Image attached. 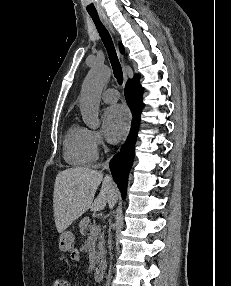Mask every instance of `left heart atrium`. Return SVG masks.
Returning a JSON list of instances; mask_svg holds the SVG:
<instances>
[{
    "label": "left heart atrium",
    "instance_id": "obj_1",
    "mask_svg": "<svg viewBox=\"0 0 231 286\" xmlns=\"http://www.w3.org/2000/svg\"><path fill=\"white\" fill-rule=\"evenodd\" d=\"M128 114L121 105L108 107L103 113V130L111 142L120 140L128 127Z\"/></svg>",
    "mask_w": 231,
    "mask_h": 286
}]
</instances>
